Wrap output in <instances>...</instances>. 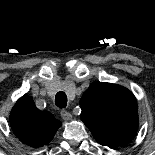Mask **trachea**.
Instances as JSON below:
<instances>
[{"label": "trachea", "instance_id": "trachea-1", "mask_svg": "<svg viewBox=\"0 0 155 155\" xmlns=\"http://www.w3.org/2000/svg\"><path fill=\"white\" fill-rule=\"evenodd\" d=\"M55 105L60 109H63L67 106V96L63 91H60L56 94Z\"/></svg>", "mask_w": 155, "mask_h": 155}]
</instances>
